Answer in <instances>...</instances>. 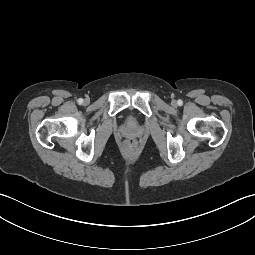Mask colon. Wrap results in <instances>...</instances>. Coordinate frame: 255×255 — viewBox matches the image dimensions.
<instances>
[{"mask_svg": "<svg viewBox=\"0 0 255 255\" xmlns=\"http://www.w3.org/2000/svg\"><path fill=\"white\" fill-rule=\"evenodd\" d=\"M125 146L129 149H134L137 146V140L134 138H129L124 142Z\"/></svg>", "mask_w": 255, "mask_h": 255, "instance_id": "5ec220e1", "label": "colon"}]
</instances>
